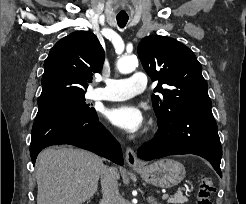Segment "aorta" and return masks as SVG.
Returning <instances> with one entry per match:
<instances>
[{"instance_id": "aorta-1", "label": "aorta", "mask_w": 246, "mask_h": 204, "mask_svg": "<svg viewBox=\"0 0 246 204\" xmlns=\"http://www.w3.org/2000/svg\"><path fill=\"white\" fill-rule=\"evenodd\" d=\"M138 66V59L134 55L123 56L117 61V69L120 73L127 74Z\"/></svg>"}]
</instances>
